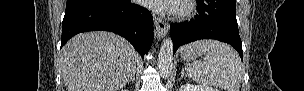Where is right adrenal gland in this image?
Segmentation results:
<instances>
[{"label": "right adrenal gland", "mask_w": 304, "mask_h": 91, "mask_svg": "<svg viewBox=\"0 0 304 91\" xmlns=\"http://www.w3.org/2000/svg\"><path fill=\"white\" fill-rule=\"evenodd\" d=\"M130 82L132 83L135 82V74H133V76L130 78V80L127 83L129 84Z\"/></svg>", "instance_id": "obj_1"}]
</instances>
